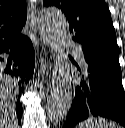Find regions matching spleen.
Returning <instances> with one entry per match:
<instances>
[{"label": "spleen", "mask_w": 125, "mask_h": 128, "mask_svg": "<svg viewBox=\"0 0 125 128\" xmlns=\"http://www.w3.org/2000/svg\"><path fill=\"white\" fill-rule=\"evenodd\" d=\"M76 128H120L117 124L108 122L102 118L90 117L81 122Z\"/></svg>", "instance_id": "1"}]
</instances>
